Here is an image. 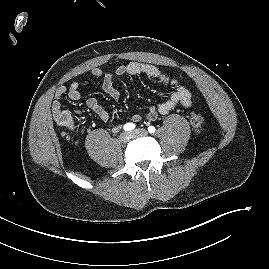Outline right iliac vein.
Masks as SVG:
<instances>
[{
    "label": "right iliac vein",
    "instance_id": "obj_1",
    "mask_svg": "<svg viewBox=\"0 0 269 269\" xmlns=\"http://www.w3.org/2000/svg\"><path fill=\"white\" fill-rule=\"evenodd\" d=\"M131 138V134L129 132H124L120 135L119 140L122 143H127Z\"/></svg>",
    "mask_w": 269,
    "mask_h": 269
}]
</instances>
